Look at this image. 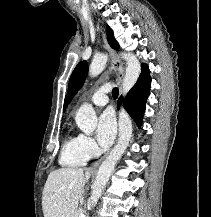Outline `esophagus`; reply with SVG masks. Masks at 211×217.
<instances>
[{
    "label": "esophagus",
    "instance_id": "esophagus-1",
    "mask_svg": "<svg viewBox=\"0 0 211 217\" xmlns=\"http://www.w3.org/2000/svg\"><path fill=\"white\" fill-rule=\"evenodd\" d=\"M103 39H104L105 46H106V48H107V50H108V52L110 54L111 65H112L113 69L117 71V76H118V80H119V83H120L121 79H122V76H123V73H124V68H123L122 62L119 59V57L117 56V53L115 52V50H113L108 45L105 36H103ZM107 155H108V153L105 154L103 157H101L98 161H96L92 165V169L98 168L100 166V164L102 163V161L106 158Z\"/></svg>",
    "mask_w": 211,
    "mask_h": 217
}]
</instances>
